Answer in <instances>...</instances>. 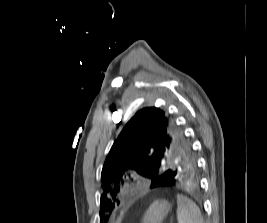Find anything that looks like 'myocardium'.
Instances as JSON below:
<instances>
[{
    "mask_svg": "<svg viewBox=\"0 0 267 223\" xmlns=\"http://www.w3.org/2000/svg\"><path fill=\"white\" fill-rule=\"evenodd\" d=\"M136 194V186L134 183H125L120 186L119 195L123 198H131Z\"/></svg>",
    "mask_w": 267,
    "mask_h": 223,
    "instance_id": "obj_1",
    "label": "myocardium"
}]
</instances>
